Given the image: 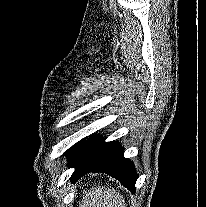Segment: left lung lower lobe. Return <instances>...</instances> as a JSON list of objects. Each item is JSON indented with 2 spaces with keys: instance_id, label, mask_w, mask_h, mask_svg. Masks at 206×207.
<instances>
[{
  "instance_id": "1",
  "label": "left lung lower lobe",
  "mask_w": 206,
  "mask_h": 207,
  "mask_svg": "<svg viewBox=\"0 0 206 207\" xmlns=\"http://www.w3.org/2000/svg\"><path fill=\"white\" fill-rule=\"evenodd\" d=\"M123 154L124 149L119 143L105 142L100 136L89 137L69 159V165L75 167L71 181L75 182L89 172H102L115 177L135 193L138 176L133 163Z\"/></svg>"
}]
</instances>
